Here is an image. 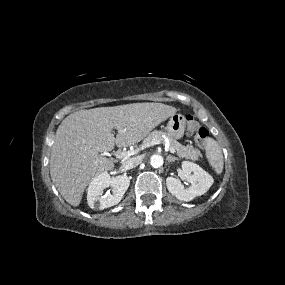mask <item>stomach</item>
<instances>
[{"mask_svg": "<svg viewBox=\"0 0 285 285\" xmlns=\"http://www.w3.org/2000/svg\"><path fill=\"white\" fill-rule=\"evenodd\" d=\"M185 127V117L182 114L175 113L170 117L166 131L172 139H181L184 135Z\"/></svg>", "mask_w": 285, "mask_h": 285, "instance_id": "obj_1", "label": "stomach"}]
</instances>
